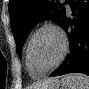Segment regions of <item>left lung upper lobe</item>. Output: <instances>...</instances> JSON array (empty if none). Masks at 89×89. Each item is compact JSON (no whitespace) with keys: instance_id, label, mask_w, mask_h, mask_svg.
<instances>
[{"instance_id":"5c2ea615","label":"left lung upper lobe","mask_w":89,"mask_h":89,"mask_svg":"<svg viewBox=\"0 0 89 89\" xmlns=\"http://www.w3.org/2000/svg\"><path fill=\"white\" fill-rule=\"evenodd\" d=\"M8 10L20 57L22 46L36 24L51 19L62 27L66 17L65 7L58 0H10Z\"/></svg>"}]
</instances>
